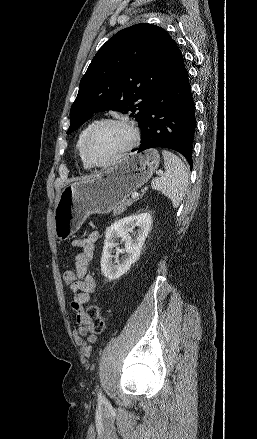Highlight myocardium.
I'll return each mask as SVG.
<instances>
[{
    "label": "myocardium",
    "mask_w": 257,
    "mask_h": 439,
    "mask_svg": "<svg viewBox=\"0 0 257 439\" xmlns=\"http://www.w3.org/2000/svg\"><path fill=\"white\" fill-rule=\"evenodd\" d=\"M106 125H121L127 128L130 132V141L128 145L114 158H112L109 161L106 162H97L95 161L89 153V146L91 143L92 138L94 135L104 126ZM140 140V133L138 128L135 126V124L127 119H118V118H108L103 119L96 124L89 130L87 133L84 143H83V155L86 159L87 163L90 165V167L98 168V169H105L113 166L118 161L122 160L124 157H126L139 143Z\"/></svg>",
    "instance_id": "obj_1"
}]
</instances>
